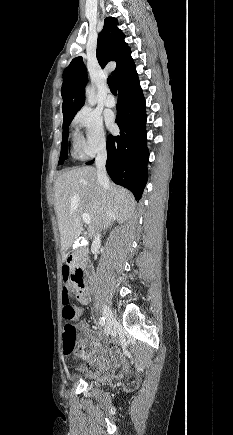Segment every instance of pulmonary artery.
Here are the masks:
<instances>
[{
	"mask_svg": "<svg viewBox=\"0 0 233 435\" xmlns=\"http://www.w3.org/2000/svg\"><path fill=\"white\" fill-rule=\"evenodd\" d=\"M105 104L108 107H114L116 105V100L111 94H108V96L105 100Z\"/></svg>",
	"mask_w": 233,
	"mask_h": 435,
	"instance_id": "obj_1",
	"label": "pulmonary artery"
}]
</instances>
